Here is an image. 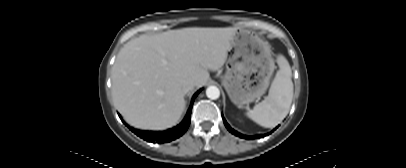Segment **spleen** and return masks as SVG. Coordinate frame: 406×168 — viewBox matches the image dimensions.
Segmentation results:
<instances>
[{"label":"spleen","instance_id":"obj_1","mask_svg":"<svg viewBox=\"0 0 406 168\" xmlns=\"http://www.w3.org/2000/svg\"><path fill=\"white\" fill-rule=\"evenodd\" d=\"M277 63L279 70L271 83L268 96L247 112L250 119L265 128L275 127L287 116L293 98L291 67L283 55L277 57Z\"/></svg>","mask_w":406,"mask_h":168}]
</instances>
